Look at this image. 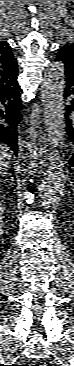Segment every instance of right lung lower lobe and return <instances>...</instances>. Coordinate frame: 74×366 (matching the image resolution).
Instances as JSON below:
<instances>
[{
    "mask_svg": "<svg viewBox=\"0 0 74 366\" xmlns=\"http://www.w3.org/2000/svg\"><path fill=\"white\" fill-rule=\"evenodd\" d=\"M22 102L17 80L0 87V143H5L17 156L18 125L22 121Z\"/></svg>",
    "mask_w": 74,
    "mask_h": 366,
    "instance_id": "right-lung-lower-lobe-1",
    "label": "right lung lower lobe"
}]
</instances>
